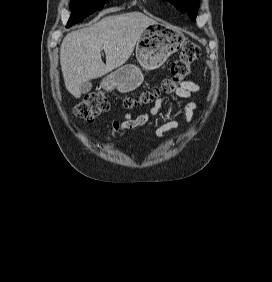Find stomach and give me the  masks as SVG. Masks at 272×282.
Listing matches in <instances>:
<instances>
[{
    "instance_id": "1",
    "label": "stomach",
    "mask_w": 272,
    "mask_h": 282,
    "mask_svg": "<svg viewBox=\"0 0 272 282\" xmlns=\"http://www.w3.org/2000/svg\"><path fill=\"white\" fill-rule=\"evenodd\" d=\"M184 35L172 27L155 22L141 34L136 45V58L143 70H154L178 51ZM144 80L142 71L133 64L124 65L103 80L107 90L117 89L121 93L135 90Z\"/></svg>"
}]
</instances>
